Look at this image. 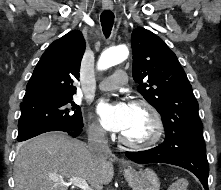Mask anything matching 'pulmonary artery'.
<instances>
[{
	"instance_id": "1",
	"label": "pulmonary artery",
	"mask_w": 221,
	"mask_h": 190,
	"mask_svg": "<svg viewBox=\"0 0 221 190\" xmlns=\"http://www.w3.org/2000/svg\"><path fill=\"white\" fill-rule=\"evenodd\" d=\"M128 83L127 73L122 70H116L111 76L102 80L98 88L100 90H113L118 87L124 86Z\"/></svg>"
}]
</instances>
